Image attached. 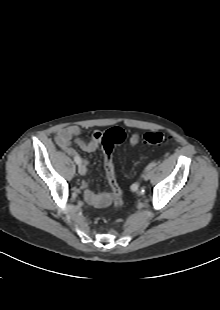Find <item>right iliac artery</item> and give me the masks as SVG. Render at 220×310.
<instances>
[{
	"mask_svg": "<svg viewBox=\"0 0 220 310\" xmlns=\"http://www.w3.org/2000/svg\"><path fill=\"white\" fill-rule=\"evenodd\" d=\"M74 161L76 164H81V158L80 157H74Z\"/></svg>",
	"mask_w": 220,
	"mask_h": 310,
	"instance_id": "82829eb1",
	"label": "right iliac artery"
}]
</instances>
